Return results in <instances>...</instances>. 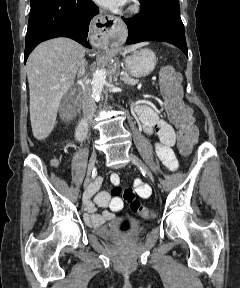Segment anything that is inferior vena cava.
Masks as SVG:
<instances>
[{
  "label": "inferior vena cava",
  "mask_w": 240,
  "mask_h": 288,
  "mask_svg": "<svg viewBox=\"0 0 240 288\" xmlns=\"http://www.w3.org/2000/svg\"><path fill=\"white\" fill-rule=\"evenodd\" d=\"M81 70V68H80ZM85 73H82L80 75H78V77H80V85L82 87L83 90V95H82V110L84 113V123L87 122V120H90L93 118L94 116V112H95V107H94V100H93V96L91 93V87L89 82L87 81V79L84 76Z\"/></svg>",
  "instance_id": "obj_1"
}]
</instances>
